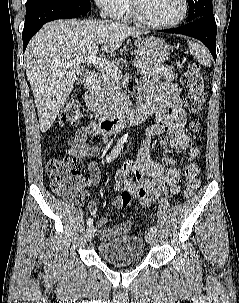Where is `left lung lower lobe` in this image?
<instances>
[{
	"label": "left lung lower lobe",
	"instance_id": "1",
	"mask_svg": "<svg viewBox=\"0 0 239 303\" xmlns=\"http://www.w3.org/2000/svg\"><path fill=\"white\" fill-rule=\"evenodd\" d=\"M163 32L176 33L194 37L202 41L216 60V22L214 16L197 18L188 24L167 30Z\"/></svg>",
	"mask_w": 239,
	"mask_h": 303
}]
</instances>
